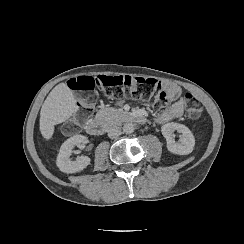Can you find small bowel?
<instances>
[{
	"instance_id": "1",
	"label": "small bowel",
	"mask_w": 244,
	"mask_h": 244,
	"mask_svg": "<svg viewBox=\"0 0 244 244\" xmlns=\"http://www.w3.org/2000/svg\"><path fill=\"white\" fill-rule=\"evenodd\" d=\"M163 90L166 92L170 105L156 115L155 122L159 125H164L181 118L186 106V101L181 95L182 90L178 85L164 82Z\"/></svg>"
}]
</instances>
